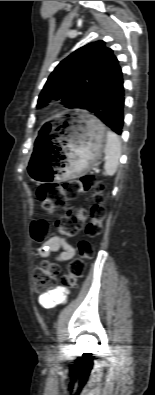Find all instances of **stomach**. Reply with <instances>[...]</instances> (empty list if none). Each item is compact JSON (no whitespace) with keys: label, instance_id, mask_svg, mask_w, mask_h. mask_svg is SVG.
Returning a JSON list of instances; mask_svg holds the SVG:
<instances>
[{"label":"stomach","instance_id":"0dacf381","mask_svg":"<svg viewBox=\"0 0 155 395\" xmlns=\"http://www.w3.org/2000/svg\"><path fill=\"white\" fill-rule=\"evenodd\" d=\"M68 127L59 140L57 152L49 157L46 150L32 153L27 172L32 181L75 178L84 173L101 156L106 144V128L86 110L69 114Z\"/></svg>","mask_w":155,"mask_h":395}]
</instances>
